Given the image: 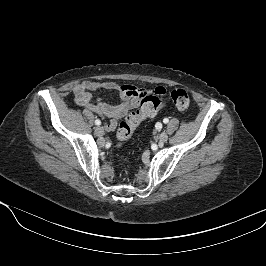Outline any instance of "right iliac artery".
<instances>
[{"label":"right iliac artery","mask_w":266,"mask_h":266,"mask_svg":"<svg viewBox=\"0 0 266 266\" xmlns=\"http://www.w3.org/2000/svg\"><path fill=\"white\" fill-rule=\"evenodd\" d=\"M95 124H96V125H100V124H101V121H100L99 119H96V120H95Z\"/></svg>","instance_id":"obj_1"}]
</instances>
